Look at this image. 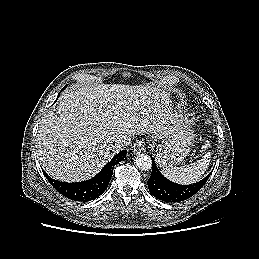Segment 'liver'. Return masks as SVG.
Segmentation results:
<instances>
[{
	"label": "liver",
	"mask_w": 259,
	"mask_h": 259,
	"mask_svg": "<svg viewBox=\"0 0 259 259\" xmlns=\"http://www.w3.org/2000/svg\"><path fill=\"white\" fill-rule=\"evenodd\" d=\"M173 121L172 100L158 88L124 84L74 87L44 115L36 139L37 154L52 178L84 181L118 152L115 143L143 133L161 139Z\"/></svg>",
	"instance_id": "obj_1"
}]
</instances>
